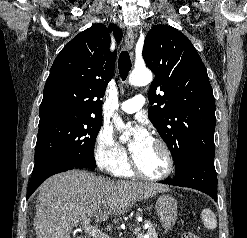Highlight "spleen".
Instances as JSON below:
<instances>
[{"instance_id": "spleen-1", "label": "spleen", "mask_w": 247, "mask_h": 238, "mask_svg": "<svg viewBox=\"0 0 247 238\" xmlns=\"http://www.w3.org/2000/svg\"><path fill=\"white\" fill-rule=\"evenodd\" d=\"M202 221L207 229L213 230L217 227V219L210 209H204L201 212Z\"/></svg>"}]
</instances>
